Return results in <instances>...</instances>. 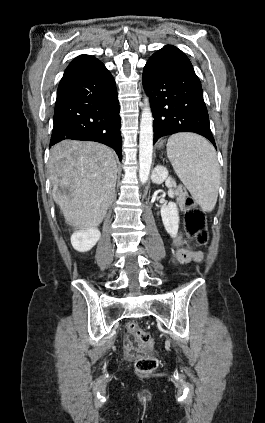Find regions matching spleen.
<instances>
[{
    "mask_svg": "<svg viewBox=\"0 0 265 423\" xmlns=\"http://www.w3.org/2000/svg\"><path fill=\"white\" fill-rule=\"evenodd\" d=\"M167 156L193 199L203 211L211 212L217 202L220 184L214 147L194 133H177L168 139Z\"/></svg>",
    "mask_w": 265,
    "mask_h": 423,
    "instance_id": "1",
    "label": "spleen"
}]
</instances>
